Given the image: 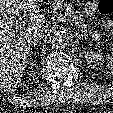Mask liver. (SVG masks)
<instances>
[{
	"instance_id": "obj_1",
	"label": "liver",
	"mask_w": 113,
	"mask_h": 113,
	"mask_svg": "<svg viewBox=\"0 0 113 113\" xmlns=\"http://www.w3.org/2000/svg\"><path fill=\"white\" fill-rule=\"evenodd\" d=\"M40 0H0V91L11 93L19 87L26 68L32 32L45 23L44 15H39ZM19 10L34 12L26 28L17 31L13 22Z\"/></svg>"
}]
</instances>
